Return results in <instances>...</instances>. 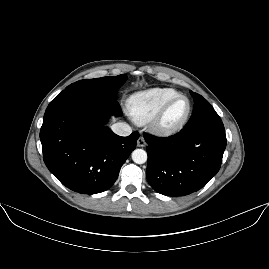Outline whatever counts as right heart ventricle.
I'll return each instance as SVG.
<instances>
[{
    "label": "right heart ventricle",
    "instance_id": "1",
    "mask_svg": "<svg viewBox=\"0 0 269 269\" xmlns=\"http://www.w3.org/2000/svg\"><path fill=\"white\" fill-rule=\"evenodd\" d=\"M179 93L171 88H153L137 92L129 99L130 111L141 123L151 121L164 105Z\"/></svg>",
    "mask_w": 269,
    "mask_h": 269
}]
</instances>
